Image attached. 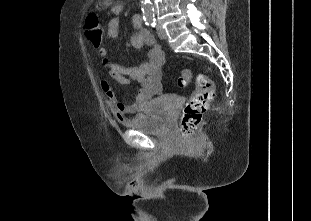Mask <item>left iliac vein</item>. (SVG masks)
Masks as SVG:
<instances>
[{"mask_svg": "<svg viewBox=\"0 0 311 221\" xmlns=\"http://www.w3.org/2000/svg\"><path fill=\"white\" fill-rule=\"evenodd\" d=\"M157 34L160 39L167 38L166 31L160 25H157Z\"/></svg>", "mask_w": 311, "mask_h": 221, "instance_id": "1", "label": "left iliac vein"}]
</instances>
